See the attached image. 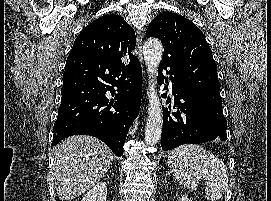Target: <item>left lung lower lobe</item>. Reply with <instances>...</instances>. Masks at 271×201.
<instances>
[{"label":"left lung lower lobe","mask_w":271,"mask_h":201,"mask_svg":"<svg viewBox=\"0 0 271 201\" xmlns=\"http://www.w3.org/2000/svg\"><path fill=\"white\" fill-rule=\"evenodd\" d=\"M160 63L158 80L163 82L162 70L170 74L174 99L168 108L163 107V129L161 146L170 150L186 143H203L212 140L225 141L227 137L220 134L214 126L206 108L190 92L183 89L178 75ZM167 82V81H166ZM159 83V81H158ZM168 86L166 85L165 88ZM166 97V94L163 95ZM171 102L170 100L167 103ZM173 109V111H170Z\"/></svg>","instance_id":"obj_1"}]
</instances>
